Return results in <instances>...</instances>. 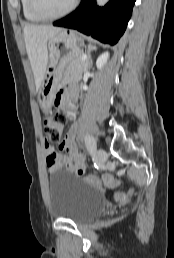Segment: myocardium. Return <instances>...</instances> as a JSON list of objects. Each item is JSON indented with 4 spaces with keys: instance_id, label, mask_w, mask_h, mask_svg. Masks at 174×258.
I'll return each instance as SVG.
<instances>
[{
    "instance_id": "obj_1",
    "label": "myocardium",
    "mask_w": 174,
    "mask_h": 258,
    "mask_svg": "<svg viewBox=\"0 0 174 258\" xmlns=\"http://www.w3.org/2000/svg\"><path fill=\"white\" fill-rule=\"evenodd\" d=\"M78 3H79V0H73L72 3L65 10H63L58 14L51 15V14L45 13L40 9L37 0H29L31 10L36 16H38L42 20H56L64 16H67L77 7Z\"/></svg>"
}]
</instances>
